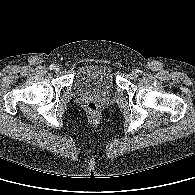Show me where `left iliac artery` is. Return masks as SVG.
I'll return each mask as SVG.
<instances>
[{
  "label": "left iliac artery",
  "instance_id": "left-iliac-artery-1",
  "mask_svg": "<svg viewBox=\"0 0 195 195\" xmlns=\"http://www.w3.org/2000/svg\"><path fill=\"white\" fill-rule=\"evenodd\" d=\"M136 72H137V73H139V72H141V71H139V70H136Z\"/></svg>",
  "mask_w": 195,
  "mask_h": 195
}]
</instances>
